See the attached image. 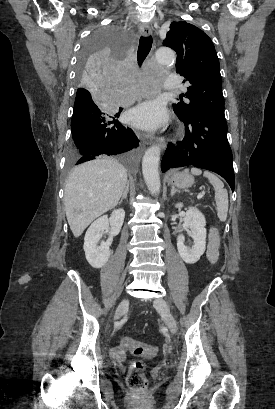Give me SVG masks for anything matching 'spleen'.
I'll return each instance as SVG.
<instances>
[{"label":"spleen","instance_id":"3e777b00","mask_svg":"<svg viewBox=\"0 0 275 409\" xmlns=\"http://www.w3.org/2000/svg\"><path fill=\"white\" fill-rule=\"evenodd\" d=\"M188 168H186L187 172ZM192 174H201L202 170L200 168H191ZM204 176H207L209 182H211L214 190H215V202H216V211L217 217L224 223L227 219L228 207H229V200H228V192L226 188H223L224 184L216 174H212V172H208L205 170Z\"/></svg>","mask_w":275,"mask_h":409}]
</instances>
